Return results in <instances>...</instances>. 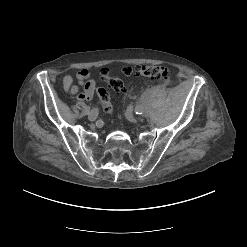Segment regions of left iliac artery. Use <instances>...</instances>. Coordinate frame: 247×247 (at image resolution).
Instances as JSON below:
<instances>
[{
    "label": "left iliac artery",
    "instance_id": "1",
    "mask_svg": "<svg viewBox=\"0 0 247 247\" xmlns=\"http://www.w3.org/2000/svg\"><path fill=\"white\" fill-rule=\"evenodd\" d=\"M135 113L141 115L143 113V108L140 105L135 107Z\"/></svg>",
    "mask_w": 247,
    "mask_h": 247
}]
</instances>
